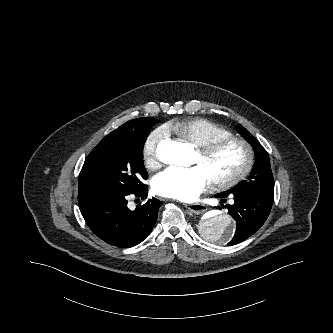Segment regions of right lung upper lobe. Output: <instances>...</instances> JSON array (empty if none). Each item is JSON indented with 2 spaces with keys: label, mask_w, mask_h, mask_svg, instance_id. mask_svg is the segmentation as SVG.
<instances>
[{
  "label": "right lung upper lobe",
  "mask_w": 333,
  "mask_h": 333,
  "mask_svg": "<svg viewBox=\"0 0 333 333\" xmlns=\"http://www.w3.org/2000/svg\"><path fill=\"white\" fill-rule=\"evenodd\" d=\"M146 119V117L144 118H138V119H133L130 120L126 123H124L123 125H121L119 128H117L116 130H114V133H118V132H128L130 130H135L144 120Z\"/></svg>",
  "instance_id": "cb5924a9"
}]
</instances>
